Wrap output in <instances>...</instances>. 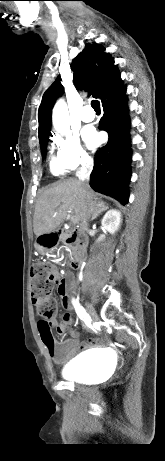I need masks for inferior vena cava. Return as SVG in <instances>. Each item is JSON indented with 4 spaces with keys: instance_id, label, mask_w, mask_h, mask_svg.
I'll use <instances>...</instances> for the list:
<instances>
[{
    "instance_id": "1",
    "label": "inferior vena cava",
    "mask_w": 165,
    "mask_h": 461,
    "mask_svg": "<svg viewBox=\"0 0 165 461\" xmlns=\"http://www.w3.org/2000/svg\"><path fill=\"white\" fill-rule=\"evenodd\" d=\"M92 168H93L92 159L89 156H85L83 158L82 168L77 174V176L79 177V179L81 180V182L83 183L85 187H89L88 181L90 178V173H91Z\"/></svg>"
}]
</instances>
